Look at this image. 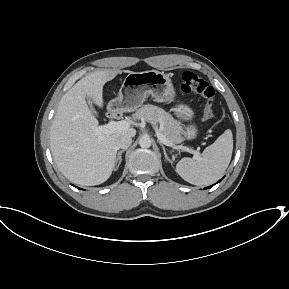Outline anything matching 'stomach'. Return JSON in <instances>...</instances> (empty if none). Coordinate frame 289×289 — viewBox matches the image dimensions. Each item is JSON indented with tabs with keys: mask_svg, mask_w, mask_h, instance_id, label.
<instances>
[{
	"mask_svg": "<svg viewBox=\"0 0 289 289\" xmlns=\"http://www.w3.org/2000/svg\"><path fill=\"white\" fill-rule=\"evenodd\" d=\"M149 95L161 103L174 101L176 93L170 76L157 70L129 73L123 81L118 97L111 100L109 106L120 111H134ZM172 111L179 119L188 122L181 134L183 139L197 138L199 130L193 123L194 110L188 105L178 104Z\"/></svg>",
	"mask_w": 289,
	"mask_h": 289,
	"instance_id": "1",
	"label": "stomach"
}]
</instances>
